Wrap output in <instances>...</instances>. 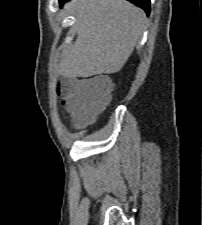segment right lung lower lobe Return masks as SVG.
<instances>
[{
  "label": "right lung lower lobe",
  "mask_w": 202,
  "mask_h": 225,
  "mask_svg": "<svg viewBox=\"0 0 202 225\" xmlns=\"http://www.w3.org/2000/svg\"><path fill=\"white\" fill-rule=\"evenodd\" d=\"M69 0H59L60 7H62L63 3ZM133 4L137 5L138 7L144 9L147 14L150 13V0H128Z\"/></svg>",
  "instance_id": "obj_1"
}]
</instances>
